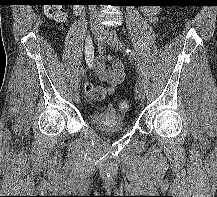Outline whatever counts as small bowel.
Returning <instances> with one entry per match:
<instances>
[{
    "instance_id": "obj_1",
    "label": "small bowel",
    "mask_w": 217,
    "mask_h": 197,
    "mask_svg": "<svg viewBox=\"0 0 217 197\" xmlns=\"http://www.w3.org/2000/svg\"><path fill=\"white\" fill-rule=\"evenodd\" d=\"M147 16L150 21H155L156 15L153 11H148ZM108 62L110 67L107 68L105 63ZM94 68L100 80L106 82L108 84L107 88L98 87L104 91V96L102 100L106 97L107 94H114L117 86L122 83L125 76V69L122 60L118 57L113 56H105L104 55V47L101 46L98 49V54L94 58ZM92 99L94 97L92 94H88Z\"/></svg>"
}]
</instances>
